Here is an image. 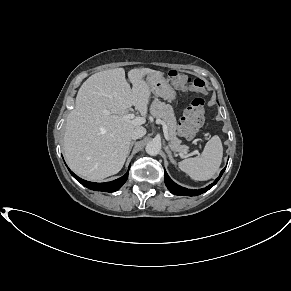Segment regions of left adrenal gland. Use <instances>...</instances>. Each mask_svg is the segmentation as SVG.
<instances>
[{
	"mask_svg": "<svg viewBox=\"0 0 291 291\" xmlns=\"http://www.w3.org/2000/svg\"><path fill=\"white\" fill-rule=\"evenodd\" d=\"M165 150H166V152H167V154H168V157H169L170 162H171L172 164H176V162H175V160L173 159L172 153H171V151H170V149H169L168 146L165 147Z\"/></svg>",
	"mask_w": 291,
	"mask_h": 291,
	"instance_id": "1",
	"label": "left adrenal gland"
}]
</instances>
